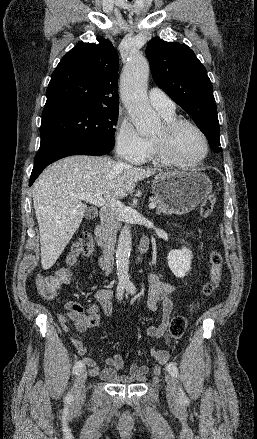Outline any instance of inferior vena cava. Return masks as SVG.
<instances>
[{"mask_svg":"<svg viewBox=\"0 0 257 439\" xmlns=\"http://www.w3.org/2000/svg\"><path fill=\"white\" fill-rule=\"evenodd\" d=\"M119 202L115 199L111 201L110 207H104L100 211V220L103 228V240H104V258L108 265V271H112L114 264V247L116 242L118 220L117 215L113 208Z\"/></svg>","mask_w":257,"mask_h":439,"instance_id":"inferior-vena-cava-1","label":"inferior vena cava"}]
</instances>
